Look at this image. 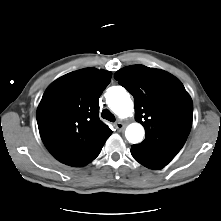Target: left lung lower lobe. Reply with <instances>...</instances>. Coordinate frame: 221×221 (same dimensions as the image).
<instances>
[{
    "label": "left lung lower lobe",
    "instance_id": "obj_1",
    "mask_svg": "<svg viewBox=\"0 0 221 221\" xmlns=\"http://www.w3.org/2000/svg\"><path fill=\"white\" fill-rule=\"evenodd\" d=\"M131 154L140 164L155 170L164 168L172 160L142 144L132 145Z\"/></svg>",
    "mask_w": 221,
    "mask_h": 221
}]
</instances>
